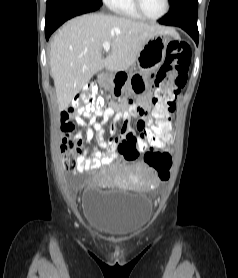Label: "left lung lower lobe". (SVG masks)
Returning <instances> with one entry per match:
<instances>
[{
  "label": "left lung lower lobe",
  "instance_id": "left-lung-lower-lobe-1",
  "mask_svg": "<svg viewBox=\"0 0 238 278\" xmlns=\"http://www.w3.org/2000/svg\"><path fill=\"white\" fill-rule=\"evenodd\" d=\"M198 0H174L171 10L158 22L163 25L178 26L185 30L198 45L197 27Z\"/></svg>",
  "mask_w": 238,
  "mask_h": 278
}]
</instances>
